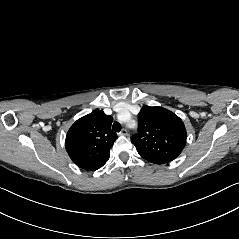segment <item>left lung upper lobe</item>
I'll return each mask as SVG.
<instances>
[{
	"label": "left lung upper lobe",
	"instance_id": "left-lung-upper-lobe-1",
	"mask_svg": "<svg viewBox=\"0 0 239 239\" xmlns=\"http://www.w3.org/2000/svg\"><path fill=\"white\" fill-rule=\"evenodd\" d=\"M182 120L160 107H143L138 115V133L131 142L141 157L153 163L174 160L186 144Z\"/></svg>",
	"mask_w": 239,
	"mask_h": 239
}]
</instances>
